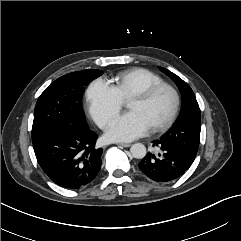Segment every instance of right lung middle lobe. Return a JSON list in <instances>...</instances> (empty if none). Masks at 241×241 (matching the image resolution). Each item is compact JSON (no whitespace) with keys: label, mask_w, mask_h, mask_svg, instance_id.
<instances>
[{"label":"right lung middle lobe","mask_w":241,"mask_h":241,"mask_svg":"<svg viewBox=\"0 0 241 241\" xmlns=\"http://www.w3.org/2000/svg\"><path fill=\"white\" fill-rule=\"evenodd\" d=\"M96 69L66 74L49 85L38 98L34 111L32 142L63 128L88 127L81 96L86 85L102 75Z\"/></svg>","instance_id":"obj_1"}]
</instances>
